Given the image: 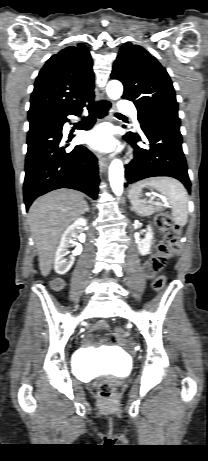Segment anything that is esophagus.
Segmentation results:
<instances>
[{
    "instance_id": "obj_1",
    "label": "esophagus",
    "mask_w": 208,
    "mask_h": 461,
    "mask_svg": "<svg viewBox=\"0 0 208 461\" xmlns=\"http://www.w3.org/2000/svg\"><path fill=\"white\" fill-rule=\"evenodd\" d=\"M98 99L100 100L99 102L95 103V112L97 119L99 121H105L110 119L111 113L113 111V106L111 104V100L102 92L99 96ZM98 157V162L101 170L106 169L109 163V158L106 156H103L101 153L97 154Z\"/></svg>"
}]
</instances>
